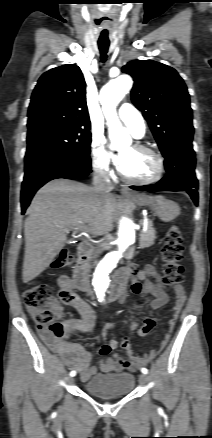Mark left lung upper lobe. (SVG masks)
Segmentation results:
<instances>
[{"instance_id": "1", "label": "left lung upper lobe", "mask_w": 212, "mask_h": 438, "mask_svg": "<svg viewBox=\"0 0 212 438\" xmlns=\"http://www.w3.org/2000/svg\"><path fill=\"white\" fill-rule=\"evenodd\" d=\"M122 71L135 81L132 102L148 121L163 156L176 146L191 144L194 127L189 94L176 70L153 60H135Z\"/></svg>"}]
</instances>
